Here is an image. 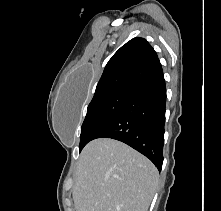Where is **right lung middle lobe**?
Segmentation results:
<instances>
[{
	"label": "right lung middle lobe",
	"mask_w": 221,
	"mask_h": 211,
	"mask_svg": "<svg viewBox=\"0 0 221 211\" xmlns=\"http://www.w3.org/2000/svg\"><path fill=\"white\" fill-rule=\"evenodd\" d=\"M133 92L131 88H117L93 97L81 127L80 151L118 113Z\"/></svg>",
	"instance_id": "1"
}]
</instances>
